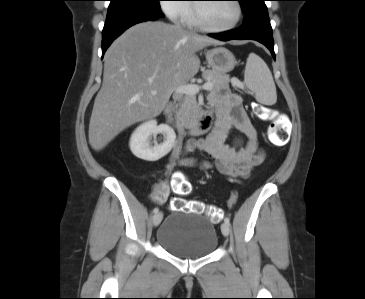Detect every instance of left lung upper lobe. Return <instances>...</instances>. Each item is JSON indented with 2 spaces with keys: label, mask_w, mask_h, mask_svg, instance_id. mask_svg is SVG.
Returning a JSON list of instances; mask_svg holds the SVG:
<instances>
[{
  "label": "left lung upper lobe",
  "mask_w": 365,
  "mask_h": 299,
  "mask_svg": "<svg viewBox=\"0 0 365 299\" xmlns=\"http://www.w3.org/2000/svg\"><path fill=\"white\" fill-rule=\"evenodd\" d=\"M239 1L242 11L244 14H246L248 11L258 7L265 5V0H237Z\"/></svg>",
  "instance_id": "1"
}]
</instances>
